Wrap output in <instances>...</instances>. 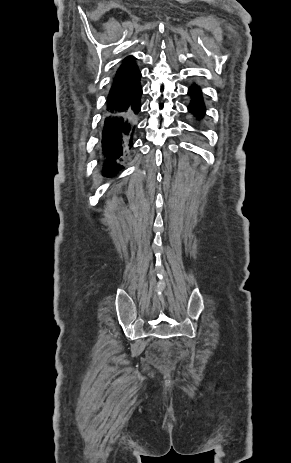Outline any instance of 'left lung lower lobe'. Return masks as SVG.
<instances>
[{
  "label": "left lung lower lobe",
  "instance_id": "obj_1",
  "mask_svg": "<svg viewBox=\"0 0 291 463\" xmlns=\"http://www.w3.org/2000/svg\"><path fill=\"white\" fill-rule=\"evenodd\" d=\"M188 95L191 97L190 104L188 105V112L199 121L205 116L206 111L201 89L194 84L189 88Z\"/></svg>",
  "mask_w": 291,
  "mask_h": 463
}]
</instances>
